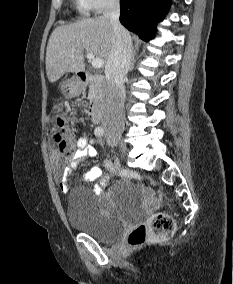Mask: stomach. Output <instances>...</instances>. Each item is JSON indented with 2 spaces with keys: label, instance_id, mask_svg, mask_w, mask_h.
Masks as SVG:
<instances>
[{
  "label": "stomach",
  "instance_id": "0dacf381",
  "mask_svg": "<svg viewBox=\"0 0 233 284\" xmlns=\"http://www.w3.org/2000/svg\"><path fill=\"white\" fill-rule=\"evenodd\" d=\"M61 91L66 96H75L82 91V85L77 80L70 79L61 85Z\"/></svg>",
  "mask_w": 233,
  "mask_h": 284
}]
</instances>
